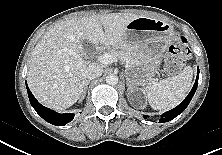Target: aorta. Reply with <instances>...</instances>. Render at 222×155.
I'll list each match as a JSON object with an SVG mask.
<instances>
[{
	"instance_id": "1",
	"label": "aorta",
	"mask_w": 222,
	"mask_h": 155,
	"mask_svg": "<svg viewBox=\"0 0 222 155\" xmlns=\"http://www.w3.org/2000/svg\"><path fill=\"white\" fill-rule=\"evenodd\" d=\"M118 81H119V78L117 75L111 74L106 77V83L109 85H116Z\"/></svg>"
}]
</instances>
